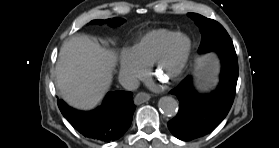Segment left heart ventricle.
<instances>
[{
  "instance_id": "left-heart-ventricle-1",
  "label": "left heart ventricle",
  "mask_w": 279,
  "mask_h": 148,
  "mask_svg": "<svg viewBox=\"0 0 279 148\" xmlns=\"http://www.w3.org/2000/svg\"><path fill=\"white\" fill-rule=\"evenodd\" d=\"M183 46H184V42L183 41L178 43L176 51H175L173 57L170 59V61L164 67V73L165 74H169L175 68L176 64L179 61L180 52H181V49H182Z\"/></svg>"
}]
</instances>
